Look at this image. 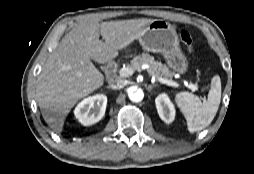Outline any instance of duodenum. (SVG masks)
Segmentation results:
<instances>
[{
    "label": "duodenum",
    "mask_w": 254,
    "mask_h": 174,
    "mask_svg": "<svg viewBox=\"0 0 254 174\" xmlns=\"http://www.w3.org/2000/svg\"><path fill=\"white\" fill-rule=\"evenodd\" d=\"M116 73V64L114 61H110L106 66V75L109 80H113L115 78Z\"/></svg>",
    "instance_id": "1"
}]
</instances>
